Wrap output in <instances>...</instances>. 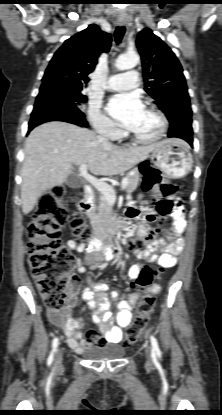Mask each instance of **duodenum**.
Instances as JSON below:
<instances>
[{
	"label": "duodenum",
	"mask_w": 222,
	"mask_h": 415,
	"mask_svg": "<svg viewBox=\"0 0 222 415\" xmlns=\"http://www.w3.org/2000/svg\"><path fill=\"white\" fill-rule=\"evenodd\" d=\"M84 198L81 200L79 208L84 215H88L92 211L93 204V190L90 186L84 187ZM130 221H110L106 228L100 226L96 227L99 238L89 246L90 251H96L102 248L103 244L105 250L108 252V258H111L115 252V240L125 237L128 233V226Z\"/></svg>",
	"instance_id": "410a0bca"
}]
</instances>
